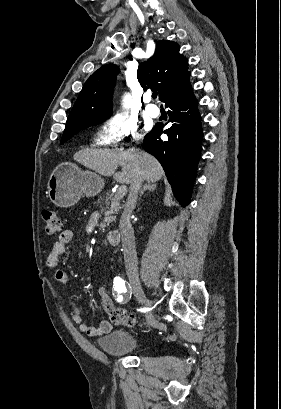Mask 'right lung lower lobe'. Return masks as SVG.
<instances>
[{
  "mask_svg": "<svg viewBox=\"0 0 281 409\" xmlns=\"http://www.w3.org/2000/svg\"><path fill=\"white\" fill-rule=\"evenodd\" d=\"M189 74L164 101L169 108L170 127L163 131L166 124L157 123L143 142L145 150L162 164L173 193L183 207L190 202L203 137L201 117L196 109L197 100L192 93ZM162 133L167 134V140L160 139Z\"/></svg>",
  "mask_w": 281,
  "mask_h": 409,
  "instance_id": "98d812e1",
  "label": "right lung lower lobe"
}]
</instances>
